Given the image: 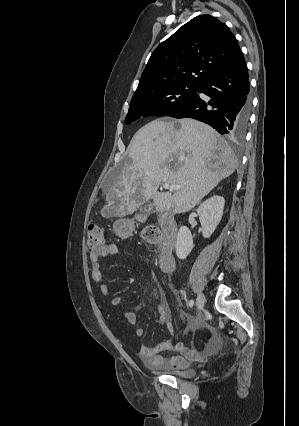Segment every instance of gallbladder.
<instances>
[{
  "label": "gallbladder",
  "mask_w": 299,
  "mask_h": 426,
  "mask_svg": "<svg viewBox=\"0 0 299 426\" xmlns=\"http://www.w3.org/2000/svg\"><path fill=\"white\" fill-rule=\"evenodd\" d=\"M151 210V205H147L143 207L144 212H149Z\"/></svg>",
  "instance_id": "gallbladder-1"
}]
</instances>
